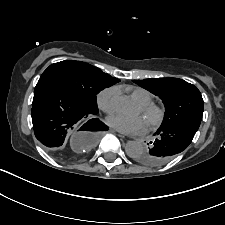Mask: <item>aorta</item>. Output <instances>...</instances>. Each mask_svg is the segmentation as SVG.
Wrapping results in <instances>:
<instances>
[{"instance_id":"obj_1","label":"aorta","mask_w":225,"mask_h":225,"mask_svg":"<svg viewBox=\"0 0 225 225\" xmlns=\"http://www.w3.org/2000/svg\"><path fill=\"white\" fill-rule=\"evenodd\" d=\"M114 105L119 111H125L130 107V100L127 96L118 93L114 97ZM125 151L129 157L136 158L145 151V147L139 141H129L125 146Z\"/></svg>"}]
</instances>
